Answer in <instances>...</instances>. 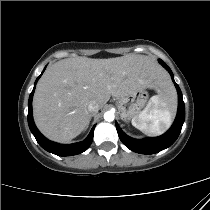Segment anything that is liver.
Wrapping results in <instances>:
<instances>
[{
    "mask_svg": "<svg viewBox=\"0 0 210 210\" xmlns=\"http://www.w3.org/2000/svg\"><path fill=\"white\" fill-rule=\"evenodd\" d=\"M169 85L164 69L144 55L62 59L49 66L39 80L33 116L46 137L65 143L86 129L90 102L102 108L111 96L122 98L146 88L162 93Z\"/></svg>",
    "mask_w": 210,
    "mask_h": 210,
    "instance_id": "1",
    "label": "liver"
}]
</instances>
